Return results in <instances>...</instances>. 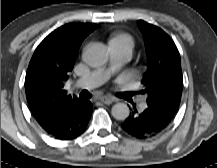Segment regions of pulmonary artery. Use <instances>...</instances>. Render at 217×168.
<instances>
[{
	"instance_id": "e3ab8cb5",
	"label": "pulmonary artery",
	"mask_w": 217,
	"mask_h": 168,
	"mask_svg": "<svg viewBox=\"0 0 217 168\" xmlns=\"http://www.w3.org/2000/svg\"><path fill=\"white\" fill-rule=\"evenodd\" d=\"M110 61L106 67L92 71L81 78L77 85L86 88L102 85L118 70H120L130 59L131 51L122 44H109ZM141 109L146 107L145 101L140 102Z\"/></svg>"
}]
</instances>
